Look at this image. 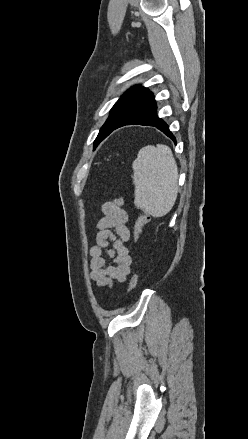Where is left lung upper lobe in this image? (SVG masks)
<instances>
[{"label":"left lung upper lobe","mask_w":248,"mask_h":439,"mask_svg":"<svg viewBox=\"0 0 248 439\" xmlns=\"http://www.w3.org/2000/svg\"><path fill=\"white\" fill-rule=\"evenodd\" d=\"M149 93V90L142 86H136L124 93L111 109L110 115L101 127L98 136L94 141V148L105 139L109 132L126 117Z\"/></svg>","instance_id":"obj_1"}]
</instances>
